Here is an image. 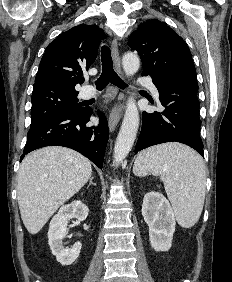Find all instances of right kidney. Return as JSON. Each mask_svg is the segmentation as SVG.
I'll use <instances>...</instances> for the list:
<instances>
[{
    "instance_id": "right-kidney-1",
    "label": "right kidney",
    "mask_w": 232,
    "mask_h": 282,
    "mask_svg": "<svg viewBox=\"0 0 232 282\" xmlns=\"http://www.w3.org/2000/svg\"><path fill=\"white\" fill-rule=\"evenodd\" d=\"M89 209L81 201H73L63 205L52 218L48 231V243L57 261L62 265H71L79 256L82 244L76 242L72 248H65L62 240L67 235V225L70 219L83 221L88 216Z\"/></svg>"
}]
</instances>
